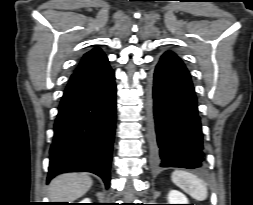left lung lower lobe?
<instances>
[{
  "label": "left lung lower lobe",
  "instance_id": "1",
  "mask_svg": "<svg viewBox=\"0 0 253 205\" xmlns=\"http://www.w3.org/2000/svg\"><path fill=\"white\" fill-rule=\"evenodd\" d=\"M150 147L161 167L202 168L203 141L190 74L173 52L162 55L150 84Z\"/></svg>",
  "mask_w": 253,
  "mask_h": 205
}]
</instances>
